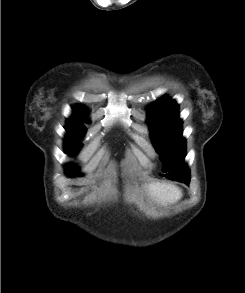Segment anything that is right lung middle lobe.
<instances>
[{
  "mask_svg": "<svg viewBox=\"0 0 245 293\" xmlns=\"http://www.w3.org/2000/svg\"><path fill=\"white\" fill-rule=\"evenodd\" d=\"M66 131L68 134L65 140L66 151L70 154H75L82 147L79 139L85 134L86 128H67ZM66 168L68 176L73 177L79 175L76 166L67 165Z\"/></svg>",
  "mask_w": 245,
  "mask_h": 293,
  "instance_id": "obj_1",
  "label": "right lung middle lobe"
}]
</instances>
